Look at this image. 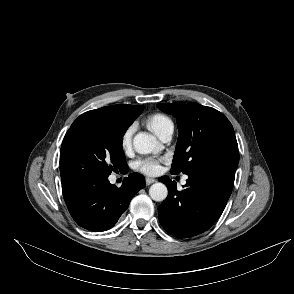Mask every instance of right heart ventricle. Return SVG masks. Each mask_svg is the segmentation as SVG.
I'll use <instances>...</instances> for the list:
<instances>
[{"instance_id": "e07e8e85", "label": "right heart ventricle", "mask_w": 294, "mask_h": 294, "mask_svg": "<svg viewBox=\"0 0 294 294\" xmlns=\"http://www.w3.org/2000/svg\"><path fill=\"white\" fill-rule=\"evenodd\" d=\"M147 125L159 137L169 127L174 126L170 117L163 113H155L149 116L147 119Z\"/></svg>"}]
</instances>
